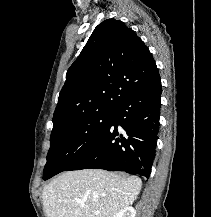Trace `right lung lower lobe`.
<instances>
[{
  "mask_svg": "<svg viewBox=\"0 0 211 217\" xmlns=\"http://www.w3.org/2000/svg\"><path fill=\"white\" fill-rule=\"evenodd\" d=\"M161 89L159 76L127 96L114 110L102 138L67 171L97 168L148 178L155 157Z\"/></svg>",
  "mask_w": 211,
  "mask_h": 217,
  "instance_id": "right-lung-lower-lobe-1",
  "label": "right lung lower lobe"
}]
</instances>
